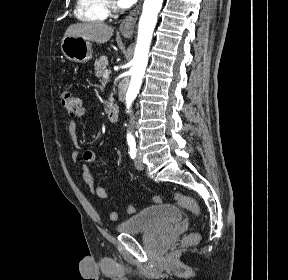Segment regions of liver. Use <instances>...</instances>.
I'll use <instances>...</instances> for the list:
<instances>
[{
  "label": "liver",
  "instance_id": "1",
  "mask_svg": "<svg viewBox=\"0 0 288 280\" xmlns=\"http://www.w3.org/2000/svg\"><path fill=\"white\" fill-rule=\"evenodd\" d=\"M113 27L104 23H77L68 27L64 37H81L99 44L106 43L113 35Z\"/></svg>",
  "mask_w": 288,
  "mask_h": 280
}]
</instances>
